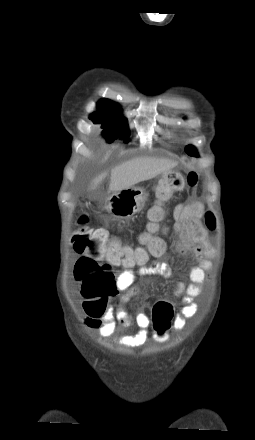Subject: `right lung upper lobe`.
<instances>
[{
  "instance_id": "cb5924a9",
  "label": "right lung upper lobe",
  "mask_w": 255,
  "mask_h": 440,
  "mask_svg": "<svg viewBox=\"0 0 255 440\" xmlns=\"http://www.w3.org/2000/svg\"><path fill=\"white\" fill-rule=\"evenodd\" d=\"M98 105L102 107H112V108L119 107L116 103L108 99H102L101 101H99Z\"/></svg>"
}]
</instances>
